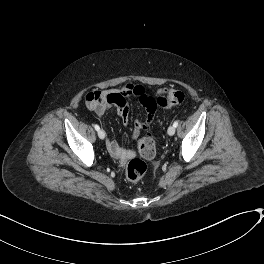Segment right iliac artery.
I'll use <instances>...</instances> for the list:
<instances>
[{"mask_svg":"<svg viewBox=\"0 0 264 264\" xmlns=\"http://www.w3.org/2000/svg\"><path fill=\"white\" fill-rule=\"evenodd\" d=\"M94 128H95L96 131L100 130V127L97 124L94 125Z\"/></svg>","mask_w":264,"mask_h":264,"instance_id":"82829eb1","label":"right iliac artery"}]
</instances>
